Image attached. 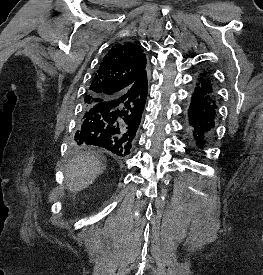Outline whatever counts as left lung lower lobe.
<instances>
[{
  "instance_id": "obj_1",
  "label": "left lung lower lobe",
  "mask_w": 263,
  "mask_h": 275,
  "mask_svg": "<svg viewBox=\"0 0 263 275\" xmlns=\"http://www.w3.org/2000/svg\"><path fill=\"white\" fill-rule=\"evenodd\" d=\"M216 93L208 73H201L188 108V132L202 149L212 135L216 119Z\"/></svg>"
}]
</instances>
